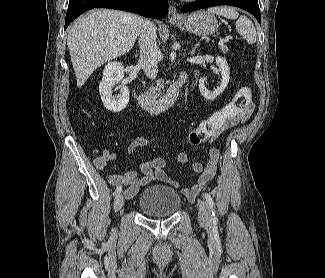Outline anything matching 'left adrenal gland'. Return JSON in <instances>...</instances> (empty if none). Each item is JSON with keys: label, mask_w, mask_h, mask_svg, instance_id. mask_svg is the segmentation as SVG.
Segmentation results:
<instances>
[{"label": "left adrenal gland", "mask_w": 325, "mask_h": 278, "mask_svg": "<svg viewBox=\"0 0 325 278\" xmlns=\"http://www.w3.org/2000/svg\"><path fill=\"white\" fill-rule=\"evenodd\" d=\"M198 46H199V43H197L196 45H194V47L191 50V55H194L195 54V51L198 48Z\"/></svg>", "instance_id": "1"}]
</instances>
